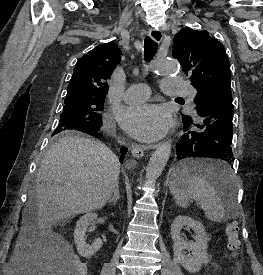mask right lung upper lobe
<instances>
[{
    "label": "right lung upper lobe",
    "mask_w": 263,
    "mask_h": 275,
    "mask_svg": "<svg viewBox=\"0 0 263 275\" xmlns=\"http://www.w3.org/2000/svg\"><path fill=\"white\" fill-rule=\"evenodd\" d=\"M121 60V51L113 43L98 45L82 56L76 63L66 98L78 95L105 97L107 80Z\"/></svg>",
    "instance_id": "1"
}]
</instances>
